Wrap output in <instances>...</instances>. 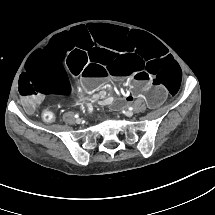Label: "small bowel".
<instances>
[{
  "label": "small bowel",
  "mask_w": 215,
  "mask_h": 215,
  "mask_svg": "<svg viewBox=\"0 0 215 215\" xmlns=\"http://www.w3.org/2000/svg\"><path fill=\"white\" fill-rule=\"evenodd\" d=\"M40 100H41L40 97H32V98L29 100L30 110H31V111L36 107V105L40 102ZM126 100L129 101L130 99L127 98ZM126 100L124 99V101H126Z\"/></svg>",
  "instance_id": "obj_1"
}]
</instances>
